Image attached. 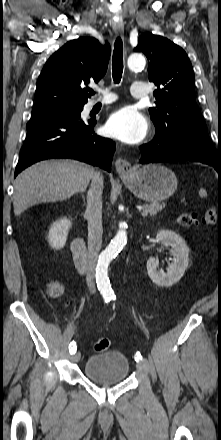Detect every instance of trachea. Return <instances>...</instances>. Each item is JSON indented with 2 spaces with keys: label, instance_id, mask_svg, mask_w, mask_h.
I'll use <instances>...</instances> for the list:
<instances>
[{
  "label": "trachea",
  "instance_id": "3493384b",
  "mask_svg": "<svg viewBox=\"0 0 221 440\" xmlns=\"http://www.w3.org/2000/svg\"><path fill=\"white\" fill-rule=\"evenodd\" d=\"M112 72H113V81L114 83L118 84L121 81L122 72H123V43L120 37H117L114 43ZM90 93L94 94L95 92L91 90Z\"/></svg>",
  "mask_w": 221,
  "mask_h": 440
}]
</instances>
